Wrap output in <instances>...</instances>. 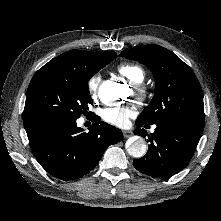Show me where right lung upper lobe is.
<instances>
[{
    "mask_svg": "<svg viewBox=\"0 0 221 221\" xmlns=\"http://www.w3.org/2000/svg\"><path fill=\"white\" fill-rule=\"evenodd\" d=\"M116 52H88L83 50L67 51L45 64L42 70L77 71L87 68L98 61L115 58Z\"/></svg>",
    "mask_w": 221,
    "mask_h": 221,
    "instance_id": "obj_1",
    "label": "right lung upper lobe"
}]
</instances>
